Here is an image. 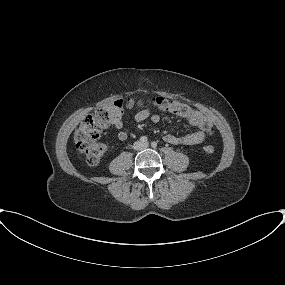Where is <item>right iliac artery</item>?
<instances>
[{"instance_id":"1","label":"right iliac artery","mask_w":285,"mask_h":285,"mask_svg":"<svg viewBox=\"0 0 285 285\" xmlns=\"http://www.w3.org/2000/svg\"><path fill=\"white\" fill-rule=\"evenodd\" d=\"M147 137H145V136H142V137H140V141L142 142V143H146L147 142Z\"/></svg>"}]
</instances>
